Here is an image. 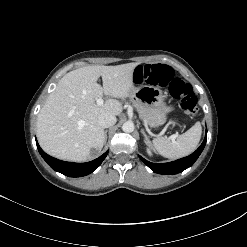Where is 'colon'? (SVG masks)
<instances>
[{
    "mask_svg": "<svg viewBox=\"0 0 247 247\" xmlns=\"http://www.w3.org/2000/svg\"><path fill=\"white\" fill-rule=\"evenodd\" d=\"M134 78L138 83L168 87L171 96L180 102L187 115L193 116L197 113V97L192 87L181 78L175 77L171 67L163 64L139 65L134 70Z\"/></svg>",
    "mask_w": 247,
    "mask_h": 247,
    "instance_id": "colon-1",
    "label": "colon"
}]
</instances>
